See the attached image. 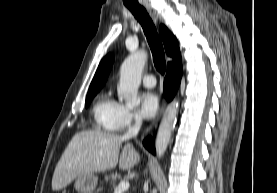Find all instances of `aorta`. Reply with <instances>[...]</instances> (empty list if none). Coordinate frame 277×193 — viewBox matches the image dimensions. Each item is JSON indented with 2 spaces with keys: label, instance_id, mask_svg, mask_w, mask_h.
Segmentation results:
<instances>
[{
  "label": "aorta",
  "instance_id": "762f6f07",
  "mask_svg": "<svg viewBox=\"0 0 277 193\" xmlns=\"http://www.w3.org/2000/svg\"><path fill=\"white\" fill-rule=\"evenodd\" d=\"M146 61L147 53L140 50L129 55L121 65L118 96L125 101L126 106L129 108H133L140 103L137 93ZM178 108L179 101H172L161 120L155 143L159 158L164 155L170 142L171 134L177 120Z\"/></svg>",
  "mask_w": 277,
  "mask_h": 193
}]
</instances>
